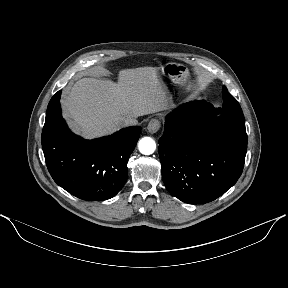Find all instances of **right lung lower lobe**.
<instances>
[{
    "instance_id": "right-lung-lower-lobe-1",
    "label": "right lung lower lobe",
    "mask_w": 288,
    "mask_h": 288,
    "mask_svg": "<svg viewBox=\"0 0 288 288\" xmlns=\"http://www.w3.org/2000/svg\"><path fill=\"white\" fill-rule=\"evenodd\" d=\"M58 91L50 100L42 131L46 165L54 181L72 195L90 201L115 196L127 180V162L141 127L84 140L68 129L61 115Z\"/></svg>"
}]
</instances>
